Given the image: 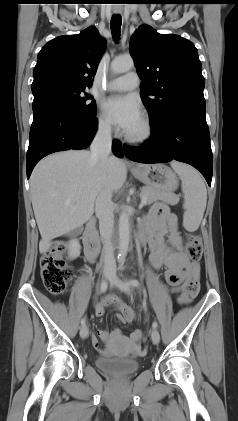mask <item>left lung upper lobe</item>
Returning <instances> with one entry per match:
<instances>
[{"instance_id": "left-lung-upper-lobe-1", "label": "left lung upper lobe", "mask_w": 238, "mask_h": 421, "mask_svg": "<svg viewBox=\"0 0 238 421\" xmlns=\"http://www.w3.org/2000/svg\"><path fill=\"white\" fill-rule=\"evenodd\" d=\"M129 50L141 82V98L152 127L173 108L205 102V80L197 48L185 38L159 34L142 25L130 39Z\"/></svg>"}]
</instances>
